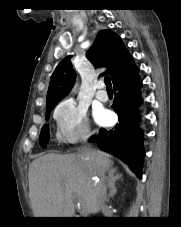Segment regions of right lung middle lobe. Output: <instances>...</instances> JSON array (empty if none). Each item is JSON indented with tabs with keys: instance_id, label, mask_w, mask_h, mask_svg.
Masks as SVG:
<instances>
[{
	"instance_id": "1",
	"label": "right lung middle lobe",
	"mask_w": 181,
	"mask_h": 227,
	"mask_svg": "<svg viewBox=\"0 0 181 227\" xmlns=\"http://www.w3.org/2000/svg\"><path fill=\"white\" fill-rule=\"evenodd\" d=\"M54 106L55 105H51V106L46 107V121H48L50 112H51V110L53 109ZM48 141H49V130H48V126H44L42 128V131H41V134H40V145L43 148H46Z\"/></svg>"
}]
</instances>
